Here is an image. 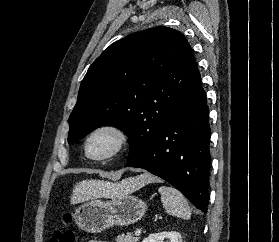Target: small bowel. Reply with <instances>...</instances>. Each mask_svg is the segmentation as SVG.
Masks as SVG:
<instances>
[{"label":"small bowel","mask_w":279,"mask_h":242,"mask_svg":"<svg viewBox=\"0 0 279 242\" xmlns=\"http://www.w3.org/2000/svg\"><path fill=\"white\" fill-rule=\"evenodd\" d=\"M89 242H107V241H101V240H91Z\"/></svg>","instance_id":"small-bowel-1"}]
</instances>
